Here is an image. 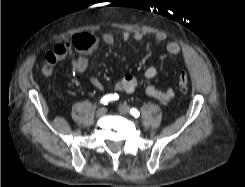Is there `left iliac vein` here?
Returning a JSON list of instances; mask_svg holds the SVG:
<instances>
[{
  "mask_svg": "<svg viewBox=\"0 0 245 187\" xmlns=\"http://www.w3.org/2000/svg\"><path fill=\"white\" fill-rule=\"evenodd\" d=\"M118 110L121 114H128L130 112V107L125 104H121L118 107Z\"/></svg>",
  "mask_w": 245,
  "mask_h": 187,
  "instance_id": "1",
  "label": "left iliac vein"
}]
</instances>
